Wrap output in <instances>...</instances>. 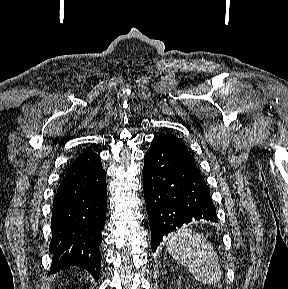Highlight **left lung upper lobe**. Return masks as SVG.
<instances>
[{
	"label": "left lung upper lobe",
	"mask_w": 288,
	"mask_h": 289,
	"mask_svg": "<svg viewBox=\"0 0 288 289\" xmlns=\"http://www.w3.org/2000/svg\"><path fill=\"white\" fill-rule=\"evenodd\" d=\"M155 139H158L160 141L167 143L173 151L177 152L179 156H181L182 158L188 160L189 162L195 165V159L191 155V153L188 151L182 139L171 134H159Z\"/></svg>",
	"instance_id": "left-lung-upper-lobe-1"
}]
</instances>
